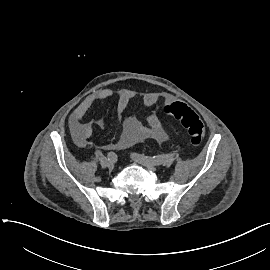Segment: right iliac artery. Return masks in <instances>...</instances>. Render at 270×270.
<instances>
[{"label":"right iliac artery","instance_id":"1","mask_svg":"<svg viewBox=\"0 0 270 270\" xmlns=\"http://www.w3.org/2000/svg\"><path fill=\"white\" fill-rule=\"evenodd\" d=\"M107 157H108V160L110 161H113V162L117 161V155L114 152H109Z\"/></svg>","mask_w":270,"mask_h":270}]
</instances>
